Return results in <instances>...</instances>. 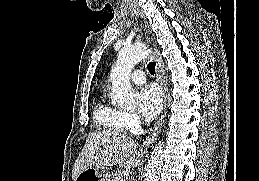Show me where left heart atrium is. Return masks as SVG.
<instances>
[{
    "label": "left heart atrium",
    "instance_id": "39dd6f15",
    "mask_svg": "<svg viewBox=\"0 0 259 181\" xmlns=\"http://www.w3.org/2000/svg\"><path fill=\"white\" fill-rule=\"evenodd\" d=\"M137 110L146 119L158 115L162 107V93L158 86L147 85L136 93Z\"/></svg>",
    "mask_w": 259,
    "mask_h": 181
}]
</instances>
